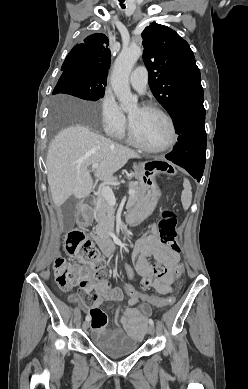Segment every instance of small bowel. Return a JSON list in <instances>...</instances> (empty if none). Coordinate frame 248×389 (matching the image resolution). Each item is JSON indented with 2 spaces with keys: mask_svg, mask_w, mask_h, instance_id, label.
<instances>
[{
  "mask_svg": "<svg viewBox=\"0 0 248 389\" xmlns=\"http://www.w3.org/2000/svg\"><path fill=\"white\" fill-rule=\"evenodd\" d=\"M151 255L156 256L168 271L166 276L154 278L153 286L159 294H168L172 291V269L179 262V255L178 251L170 246L163 245L159 241L155 226H153L151 234L140 238L133 249L132 258L135 276L144 278L153 276L152 268L147 260ZM112 291L121 294L122 298L124 295L128 296V301L127 306L119 308L115 314V330H109L108 332L112 334H126L138 342L147 328L151 307L144 304L143 299L129 298L123 287L114 288ZM68 299L70 302L80 305L84 311L89 313L88 316L90 317V307L82 302L78 294L71 293ZM103 302V300H98L94 305L98 306ZM136 304L138 306H135Z\"/></svg>",
  "mask_w": 248,
  "mask_h": 389,
  "instance_id": "obj_1",
  "label": "small bowel"
}]
</instances>
